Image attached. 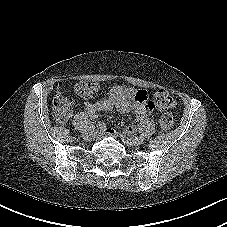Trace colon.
Instances as JSON below:
<instances>
[{"instance_id": "obj_1", "label": "colon", "mask_w": 227, "mask_h": 227, "mask_svg": "<svg viewBox=\"0 0 227 227\" xmlns=\"http://www.w3.org/2000/svg\"><path fill=\"white\" fill-rule=\"evenodd\" d=\"M100 89L101 86L96 81H81L74 86L73 91L78 96L89 99L95 97ZM155 100L157 106L166 111L176 105L173 96L165 90H158L155 93ZM52 105L55 121L59 124L66 123L72 113L73 100L59 92L54 97ZM172 124L173 119L169 113H165L159 121V127L162 131L170 129Z\"/></svg>"}]
</instances>
